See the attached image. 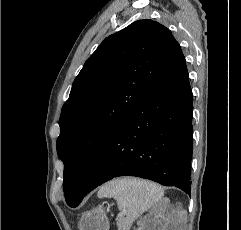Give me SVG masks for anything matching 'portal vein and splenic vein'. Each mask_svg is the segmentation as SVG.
<instances>
[{"mask_svg":"<svg viewBox=\"0 0 241 230\" xmlns=\"http://www.w3.org/2000/svg\"><path fill=\"white\" fill-rule=\"evenodd\" d=\"M124 215H125V213H121V214H119V218H120V219L123 218Z\"/></svg>","mask_w":241,"mask_h":230,"instance_id":"1","label":"portal vein and splenic vein"}]
</instances>
